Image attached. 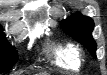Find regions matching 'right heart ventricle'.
<instances>
[{
	"label": "right heart ventricle",
	"instance_id": "obj_1",
	"mask_svg": "<svg viewBox=\"0 0 107 75\" xmlns=\"http://www.w3.org/2000/svg\"><path fill=\"white\" fill-rule=\"evenodd\" d=\"M47 56L57 67L77 70L80 66L77 49L71 42H52L47 47Z\"/></svg>",
	"mask_w": 107,
	"mask_h": 75
}]
</instances>
